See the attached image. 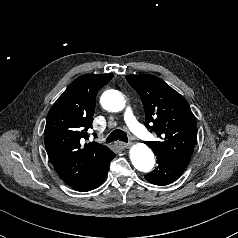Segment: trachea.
I'll use <instances>...</instances> for the list:
<instances>
[{"label": "trachea", "instance_id": "1", "mask_svg": "<svg viewBox=\"0 0 238 238\" xmlns=\"http://www.w3.org/2000/svg\"><path fill=\"white\" fill-rule=\"evenodd\" d=\"M117 140L128 142L127 134L120 129H116L107 137L106 143L114 142Z\"/></svg>", "mask_w": 238, "mask_h": 238}]
</instances>
